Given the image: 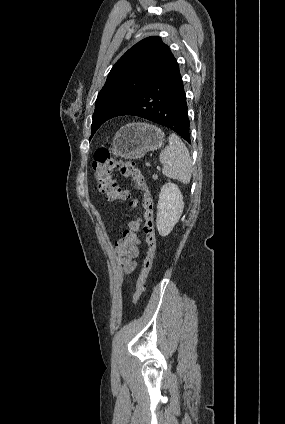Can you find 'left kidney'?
Masks as SVG:
<instances>
[{"label":"left kidney","mask_w":285,"mask_h":424,"mask_svg":"<svg viewBox=\"0 0 285 424\" xmlns=\"http://www.w3.org/2000/svg\"><path fill=\"white\" fill-rule=\"evenodd\" d=\"M184 208L183 195L174 183H165L159 193L157 205V230L167 236L179 221Z\"/></svg>","instance_id":"left-kidney-1"}]
</instances>
